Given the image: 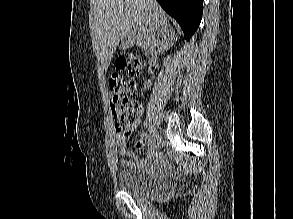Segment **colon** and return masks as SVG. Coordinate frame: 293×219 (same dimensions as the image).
I'll use <instances>...</instances> for the list:
<instances>
[{
	"mask_svg": "<svg viewBox=\"0 0 293 219\" xmlns=\"http://www.w3.org/2000/svg\"><path fill=\"white\" fill-rule=\"evenodd\" d=\"M115 66L116 70L109 77V88L118 109L119 124L126 127L135 119L137 87L134 78L140 72L141 61L136 53L130 52L119 56Z\"/></svg>",
	"mask_w": 293,
	"mask_h": 219,
	"instance_id": "5ec220e1",
	"label": "colon"
}]
</instances>
